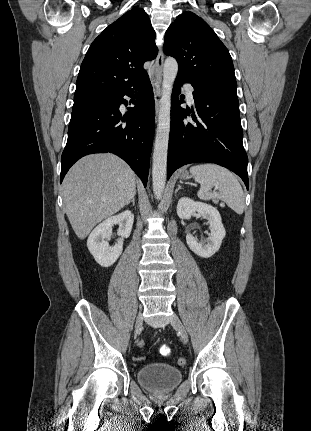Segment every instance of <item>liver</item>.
<instances>
[{
    "instance_id": "liver-1",
    "label": "liver",
    "mask_w": 311,
    "mask_h": 431,
    "mask_svg": "<svg viewBox=\"0 0 311 431\" xmlns=\"http://www.w3.org/2000/svg\"><path fill=\"white\" fill-rule=\"evenodd\" d=\"M136 194L130 166L114 154H92L76 162L63 182L64 212L80 239L116 214Z\"/></svg>"
}]
</instances>
